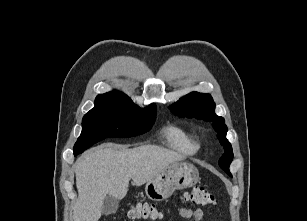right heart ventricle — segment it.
Segmentation results:
<instances>
[{
	"instance_id": "e07e8e85",
	"label": "right heart ventricle",
	"mask_w": 307,
	"mask_h": 221,
	"mask_svg": "<svg viewBox=\"0 0 307 221\" xmlns=\"http://www.w3.org/2000/svg\"><path fill=\"white\" fill-rule=\"evenodd\" d=\"M163 136L170 148L184 155H193L199 149L195 134L181 126H168L164 129Z\"/></svg>"
}]
</instances>
